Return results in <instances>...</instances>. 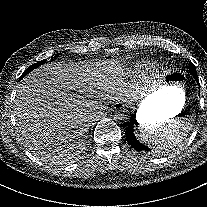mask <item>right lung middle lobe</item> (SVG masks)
Returning a JSON list of instances; mask_svg holds the SVG:
<instances>
[{"label":"right lung middle lobe","instance_id":"right-lung-middle-lobe-1","mask_svg":"<svg viewBox=\"0 0 207 207\" xmlns=\"http://www.w3.org/2000/svg\"><path fill=\"white\" fill-rule=\"evenodd\" d=\"M58 56V55H57ZM55 57H52L51 61L54 59ZM46 63V59L45 60H42V61H39L33 65H31L30 67H28L24 72L23 74L20 76V79L21 80L23 77H25L27 74H29L32 70L36 69L37 67L41 66L42 64Z\"/></svg>","mask_w":207,"mask_h":207}]
</instances>
